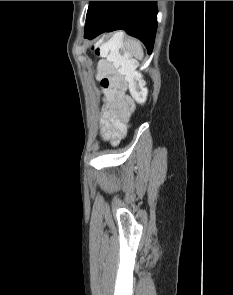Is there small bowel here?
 Segmentation results:
<instances>
[{"label":"small bowel","mask_w":233,"mask_h":295,"mask_svg":"<svg viewBox=\"0 0 233 295\" xmlns=\"http://www.w3.org/2000/svg\"><path fill=\"white\" fill-rule=\"evenodd\" d=\"M106 106L101 118V134L113 144L125 134L127 121L133 109L132 100L121 92H106Z\"/></svg>","instance_id":"1"}]
</instances>
